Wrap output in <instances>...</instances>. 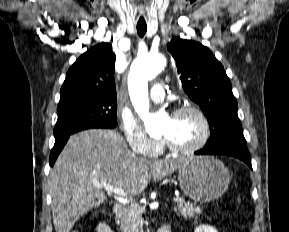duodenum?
<instances>
[{"mask_svg":"<svg viewBox=\"0 0 289 232\" xmlns=\"http://www.w3.org/2000/svg\"><path fill=\"white\" fill-rule=\"evenodd\" d=\"M123 211H124V207L121 204L114 205L113 215H114V221L116 223H118L120 218L122 217ZM157 232H171V230L168 227L163 226Z\"/></svg>","mask_w":289,"mask_h":232,"instance_id":"410a0bca","label":"duodenum"}]
</instances>
